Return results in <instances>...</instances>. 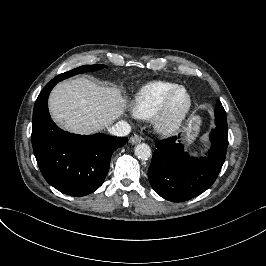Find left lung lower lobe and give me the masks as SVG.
Segmentation results:
<instances>
[{
    "label": "left lung lower lobe",
    "mask_w": 266,
    "mask_h": 266,
    "mask_svg": "<svg viewBox=\"0 0 266 266\" xmlns=\"http://www.w3.org/2000/svg\"><path fill=\"white\" fill-rule=\"evenodd\" d=\"M180 136L157 141L148 169L149 182L154 191L166 200L182 202L206 191L216 180L225 161L228 146L227 123L216 124L210 132L211 148L208 156L190 157Z\"/></svg>",
    "instance_id": "left-lung-lower-lobe-1"
}]
</instances>
